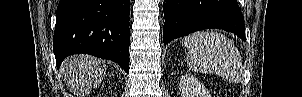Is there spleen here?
<instances>
[{
  "label": "spleen",
  "mask_w": 302,
  "mask_h": 97,
  "mask_svg": "<svg viewBox=\"0 0 302 97\" xmlns=\"http://www.w3.org/2000/svg\"><path fill=\"white\" fill-rule=\"evenodd\" d=\"M182 45L188 49L187 65L193 72L214 73L232 83L241 81V55L225 35L214 31H198L185 37Z\"/></svg>",
  "instance_id": "1"
}]
</instances>
